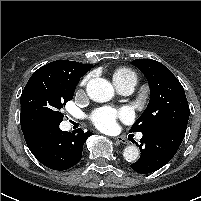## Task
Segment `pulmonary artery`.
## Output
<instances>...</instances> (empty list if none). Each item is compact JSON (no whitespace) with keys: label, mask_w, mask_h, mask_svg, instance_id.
<instances>
[{"label":"pulmonary artery","mask_w":201,"mask_h":201,"mask_svg":"<svg viewBox=\"0 0 201 201\" xmlns=\"http://www.w3.org/2000/svg\"><path fill=\"white\" fill-rule=\"evenodd\" d=\"M136 83L134 81H129V82H126L120 86H116L118 91L124 95H127V94H130L133 92L134 90V87H135ZM142 135L139 134V138H141Z\"/></svg>","instance_id":"obj_1"}]
</instances>
